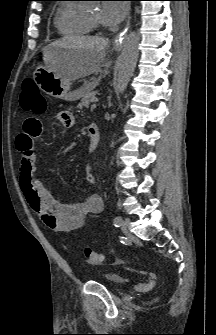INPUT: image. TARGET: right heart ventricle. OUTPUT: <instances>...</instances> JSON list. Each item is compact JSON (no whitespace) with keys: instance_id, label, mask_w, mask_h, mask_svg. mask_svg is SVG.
<instances>
[{"instance_id":"1","label":"right heart ventricle","mask_w":216,"mask_h":335,"mask_svg":"<svg viewBox=\"0 0 216 335\" xmlns=\"http://www.w3.org/2000/svg\"><path fill=\"white\" fill-rule=\"evenodd\" d=\"M54 25L59 34L70 37L86 36L93 31L88 16L78 9L77 4H61L54 18Z\"/></svg>"}]
</instances>
